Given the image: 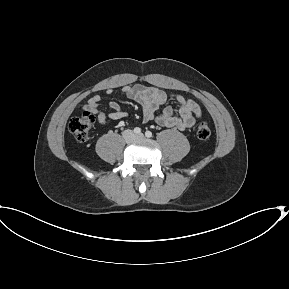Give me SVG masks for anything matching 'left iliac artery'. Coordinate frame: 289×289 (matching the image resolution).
Wrapping results in <instances>:
<instances>
[{
	"instance_id": "1",
	"label": "left iliac artery",
	"mask_w": 289,
	"mask_h": 289,
	"mask_svg": "<svg viewBox=\"0 0 289 289\" xmlns=\"http://www.w3.org/2000/svg\"><path fill=\"white\" fill-rule=\"evenodd\" d=\"M145 136L148 137V138L152 137V132L151 131H146L145 132Z\"/></svg>"
}]
</instances>
